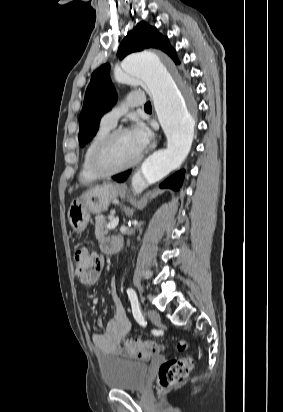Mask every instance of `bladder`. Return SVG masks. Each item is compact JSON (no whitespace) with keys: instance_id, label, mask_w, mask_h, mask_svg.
<instances>
[{"instance_id":"obj_1","label":"bladder","mask_w":283,"mask_h":412,"mask_svg":"<svg viewBox=\"0 0 283 412\" xmlns=\"http://www.w3.org/2000/svg\"><path fill=\"white\" fill-rule=\"evenodd\" d=\"M149 365L138 360L107 357L100 361V374L109 389L140 391L147 382Z\"/></svg>"}]
</instances>
